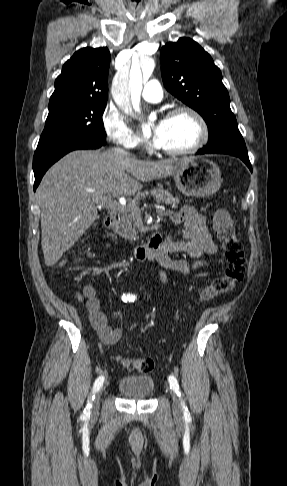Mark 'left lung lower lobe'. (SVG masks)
<instances>
[{"label": "left lung lower lobe", "instance_id": "0a47b994", "mask_svg": "<svg viewBox=\"0 0 287 486\" xmlns=\"http://www.w3.org/2000/svg\"><path fill=\"white\" fill-rule=\"evenodd\" d=\"M197 154L202 155V154H206V153H205V152H203V151H201V150H199V151L197 152ZM233 156H234V155H233ZM237 157H239V158H240V159H241V160H242V161H243V162H244V163H245V164L248 166V168H249V169H250V171L252 172V166H251V163H250V161H249L248 156H237Z\"/></svg>", "mask_w": 287, "mask_h": 486}]
</instances>
